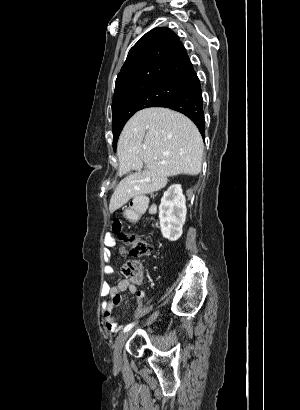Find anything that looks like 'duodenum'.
I'll use <instances>...</instances> for the list:
<instances>
[{
  "instance_id": "duodenum-1",
  "label": "duodenum",
  "mask_w": 300,
  "mask_h": 410,
  "mask_svg": "<svg viewBox=\"0 0 300 410\" xmlns=\"http://www.w3.org/2000/svg\"><path fill=\"white\" fill-rule=\"evenodd\" d=\"M147 207V202L144 199L135 200L130 210L131 219L138 220L147 210Z\"/></svg>"
}]
</instances>
